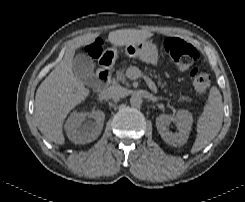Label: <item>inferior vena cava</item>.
<instances>
[{"label":"inferior vena cava","instance_id":"602c4592","mask_svg":"<svg viewBox=\"0 0 245 202\" xmlns=\"http://www.w3.org/2000/svg\"><path fill=\"white\" fill-rule=\"evenodd\" d=\"M125 95V89L121 86H111L103 91L105 99H118Z\"/></svg>","mask_w":245,"mask_h":202}]
</instances>
